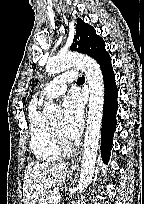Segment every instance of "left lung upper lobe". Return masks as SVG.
I'll return each instance as SVG.
<instances>
[{"label": "left lung upper lobe", "instance_id": "obj_1", "mask_svg": "<svg viewBox=\"0 0 144 204\" xmlns=\"http://www.w3.org/2000/svg\"><path fill=\"white\" fill-rule=\"evenodd\" d=\"M71 50L87 54L97 62L109 56L108 52L105 50L103 39L96 34L92 26L85 23L80 18L77 19L76 34Z\"/></svg>", "mask_w": 144, "mask_h": 204}]
</instances>
